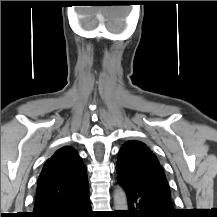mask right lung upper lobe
Masks as SVG:
<instances>
[{"label":"right lung upper lobe","instance_id":"right-lung-upper-lobe-1","mask_svg":"<svg viewBox=\"0 0 217 217\" xmlns=\"http://www.w3.org/2000/svg\"><path fill=\"white\" fill-rule=\"evenodd\" d=\"M87 169L75 149L60 148L47 160L38 179L34 211L88 192Z\"/></svg>","mask_w":217,"mask_h":217}]
</instances>
